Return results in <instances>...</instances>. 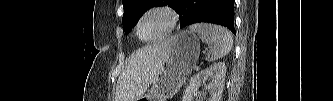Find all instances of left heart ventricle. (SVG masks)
I'll list each match as a JSON object with an SVG mask.
<instances>
[{
    "label": "left heart ventricle",
    "mask_w": 333,
    "mask_h": 101,
    "mask_svg": "<svg viewBox=\"0 0 333 101\" xmlns=\"http://www.w3.org/2000/svg\"><path fill=\"white\" fill-rule=\"evenodd\" d=\"M169 19L163 14H151L140 25V35L143 38H152L162 33L168 26Z\"/></svg>",
    "instance_id": "b2bd125f"
}]
</instances>
